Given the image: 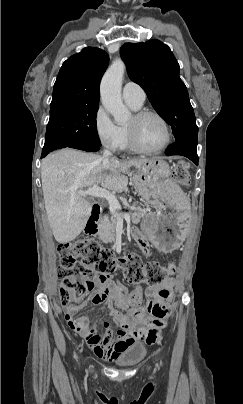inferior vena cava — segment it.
Instances as JSON below:
<instances>
[{"mask_svg": "<svg viewBox=\"0 0 243 404\" xmlns=\"http://www.w3.org/2000/svg\"><path fill=\"white\" fill-rule=\"evenodd\" d=\"M103 156L104 158H109V156H112V152H109V150H104Z\"/></svg>", "mask_w": 243, "mask_h": 404, "instance_id": "inferior-vena-cava-1", "label": "inferior vena cava"}]
</instances>
